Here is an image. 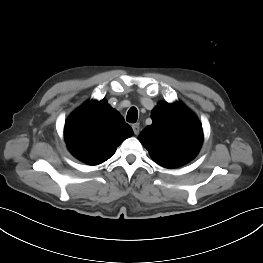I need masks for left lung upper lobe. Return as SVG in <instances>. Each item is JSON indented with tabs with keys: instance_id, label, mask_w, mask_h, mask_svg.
<instances>
[{
	"instance_id": "1",
	"label": "left lung upper lobe",
	"mask_w": 263,
	"mask_h": 263,
	"mask_svg": "<svg viewBox=\"0 0 263 263\" xmlns=\"http://www.w3.org/2000/svg\"><path fill=\"white\" fill-rule=\"evenodd\" d=\"M151 118L152 124L138 139L153 161L166 168H177L197 155L203 142L202 126L181 102H159Z\"/></svg>"
}]
</instances>
